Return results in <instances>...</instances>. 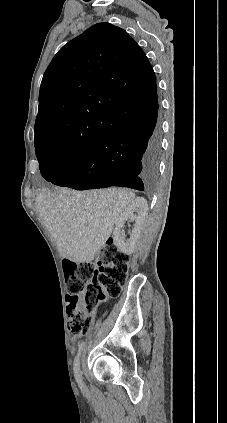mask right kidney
Masks as SVG:
<instances>
[{
    "label": "right kidney",
    "mask_w": 227,
    "mask_h": 423,
    "mask_svg": "<svg viewBox=\"0 0 227 423\" xmlns=\"http://www.w3.org/2000/svg\"><path fill=\"white\" fill-rule=\"evenodd\" d=\"M134 211H136V213H134ZM147 211L148 204L146 200H144V198H135V200H132L131 204H129L128 208L117 217L115 223L116 227L113 231V243L122 253H127V255L133 253L136 239H138L139 233H141ZM126 219L134 221V227L131 233H129V239H125V237L121 235V229L124 227Z\"/></svg>",
    "instance_id": "obj_1"
}]
</instances>
